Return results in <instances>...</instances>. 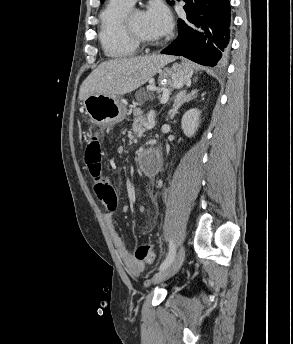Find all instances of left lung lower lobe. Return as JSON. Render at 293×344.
Instances as JSON below:
<instances>
[{"label": "left lung lower lobe", "instance_id": "left-lung-lower-lobe-1", "mask_svg": "<svg viewBox=\"0 0 293 344\" xmlns=\"http://www.w3.org/2000/svg\"><path fill=\"white\" fill-rule=\"evenodd\" d=\"M188 23L178 19V36L161 53L205 66L222 64L230 39L229 0H184Z\"/></svg>", "mask_w": 293, "mask_h": 344}]
</instances>
